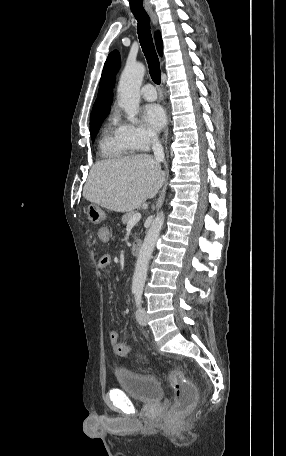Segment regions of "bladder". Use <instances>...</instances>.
<instances>
[{
	"mask_svg": "<svg viewBox=\"0 0 286 456\" xmlns=\"http://www.w3.org/2000/svg\"><path fill=\"white\" fill-rule=\"evenodd\" d=\"M116 382L119 389L139 402H155L164 396L163 388L155 377L139 374L126 368L117 370Z\"/></svg>",
	"mask_w": 286,
	"mask_h": 456,
	"instance_id": "obj_1",
	"label": "bladder"
}]
</instances>
